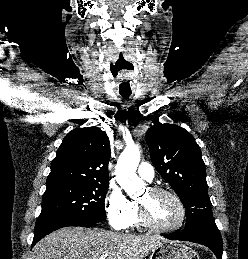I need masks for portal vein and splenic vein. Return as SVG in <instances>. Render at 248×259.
<instances>
[{
	"instance_id": "obj_1",
	"label": "portal vein and splenic vein",
	"mask_w": 248,
	"mask_h": 259,
	"mask_svg": "<svg viewBox=\"0 0 248 259\" xmlns=\"http://www.w3.org/2000/svg\"><path fill=\"white\" fill-rule=\"evenodd\" d=\"M106 257H107V254L102 255L99 259H106Z\"/></svg>"
}]
</instances>
